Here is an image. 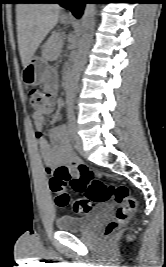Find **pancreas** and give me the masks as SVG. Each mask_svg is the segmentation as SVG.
Listing matches in <instances>:
<instances>
[{
    "mask_svg": "<svg viewBox=\"0 0 166 267\" xmlns=\"http://www.w3.org/2000/svg\"><path fill=\"white\" fill-rule=\"evenodd\" d=\"M62 38L61 34L55 33L48 39L43 50V58L45 60L52 61L58 57L62 47Z\"/></svg>",
    "mask_w": 166,
    "mask_h": 267,
    "instance_id": "obj_1",
    "label": "pancreas"
}]
</instances>
